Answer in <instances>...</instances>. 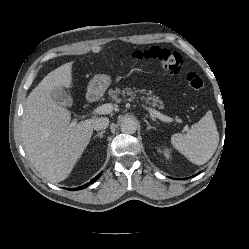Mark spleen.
<instances>
[{
	"instance_id": "1",
	"label": "spleen",
	"mask_w": 249,
	"mask_h": 249,
	"mask_svg": "<svg viewBox=\"0 0 249 249\" xmlns=\"http://www.w3.org/2000/svg\"><path fill=\"white\" fill-rule=\"evenodd\" d=\"M218 143L219 133L211 111L193 124L186 134L176 133L171 137L174 148L196 165L209 161Z\"/></svg>"
}]
</instances>
